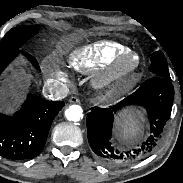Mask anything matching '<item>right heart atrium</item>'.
<instances>
[{"instance_id": "right-heart-atrium-1", "label": "right heart atrium", "mask_w": 183, "mask_h": 183, "mask_svg": "<svg viewBox=\"0 0 183 183\" xmlns=\"http://www.w3.org/2000/svg\"><path fill=\"white\" fill-rule=\"evenodd\" d=\"M56 79L58 80V81H65V77H64V74L62 73V72H58L57 74H56Z\"/></svg>"}]
</instances>
